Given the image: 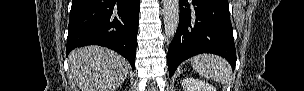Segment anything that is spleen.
<instances>
[{"label":"spleen","instance_id":"obj_1","mask_svg":"<svg viewBox=\"0 0 304 91\" xmlns=\"http://www.w3.org/2000/svg\"><path fill=\"white\" fill-rule=\"evenodd\" d=\"M193 69L201 76L225 84L230 78V66L227 62L213 54H201L191 59Z\"/></svg>","mask_w":304,"mask_h":91}]
</instances>
